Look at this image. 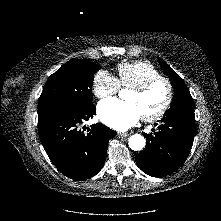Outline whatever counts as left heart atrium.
I'll return each mask as SVG.
<instances>
[{
    "label": "left heart atrium",
    "instance_id": "1",
    "mask_svg": "<svg viewBox=\"0 0 221 221\" xmlns=\"http://www.w3.org/2000/svg\"><path fill=\"white\" fill-rule=\"evenodd\" d=\"M97 113L104 124L118 131L127 130L142 116L134 103L114 98L100 102Z\"/></svg>",
    "mask_w": 221,
    "mask_h": 221
}]
</instances>
